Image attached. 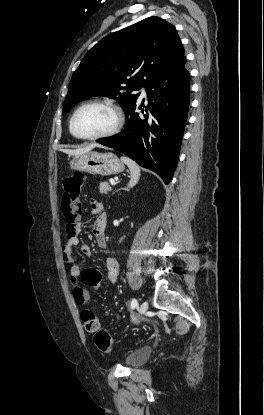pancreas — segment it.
Masks as SVG:
<instances>
[{"mask_svg": "<svg viewBox=\"0 0 264 415\" xmlns=\"http://www.w3.org/2000/svg\"><path fill=\"white\" fill-rule=\"evenodd\" d=\"M111 190L110 185L108 182H101L99 185V191L101 194H107Z\"/></svg>", "mask_w": 264, "mask_h": 415, "instance_id": "1", "label": "pancreas"}]
</instances>
